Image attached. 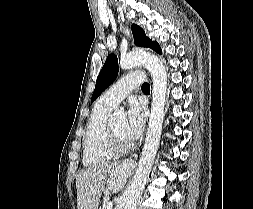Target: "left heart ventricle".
I'll list each match as a JSON object with an SVG mask.
<instances>
[{
  "label": "left heart ventricle",
  "instance_id": "left-heart-ventricle-1",
  "mask_svg": "<svg viewBox=\"0 0 253 209\" xmlns=\"http://www.w3.org/2000/svg\"><path fill=\"white\" fill-rule=\"evenodd\" d=\"M111 123H112V127L118 141L122 145L130 144V142L126 139L125 134H124L125 123H126L125 118L114 119Z\"/></svg>",
  "mask_w": 253,
  "mask_h": 209
}]
</instances>
